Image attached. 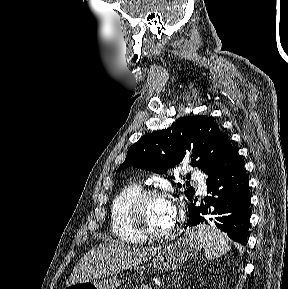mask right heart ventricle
Instances as JSON below:
<instances>
[{"label": "right heart ventricle", "instance_id": "right-heart-ventricle-1", "mask_svg": "<svg viewBox=\"0 0 288 289\" xmlns=\"http://www.w3.org/2000/svg\"><path fill=\"white\" fill-rule=\"evenodd\" d=\"M138 183L130 182L114 196L110 207V223L113 235L124 244L138 245L145 241L130 227L127 209L132 199L141 191Z\"/></svg>", "mask_w": 288, "mask_h": 289}]
</instances>
